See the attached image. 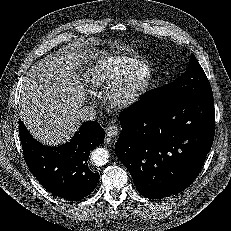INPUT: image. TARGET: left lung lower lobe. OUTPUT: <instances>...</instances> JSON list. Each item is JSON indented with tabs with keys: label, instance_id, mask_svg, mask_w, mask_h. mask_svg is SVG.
Here are the masks:
<instances>
[{
	"label": "left lung lower lobe",
	"instance_id": "obj_1",
	"mask_svg": "<svg viewBox=\"0 0 231 231\" xmlns=\"http://www.w3.org/2000/svg\"><path fill=\"white\" fill-rule=\"evenodd\" d=\"M119 118L123 130L115 151L141 195L160 199L194 182L213 144V95L164 106L149 105L142 97Z\"/></svg>",
	"mask_w": 231,
	"mask_h": 231
}]
</instances>
